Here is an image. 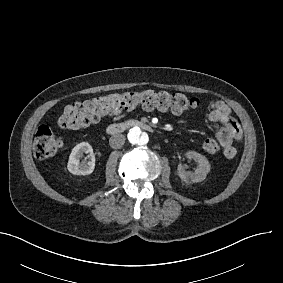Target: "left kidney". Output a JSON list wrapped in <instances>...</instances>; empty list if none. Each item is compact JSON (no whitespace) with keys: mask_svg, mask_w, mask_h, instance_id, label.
<instances>
[{"mask_svg":"<svg viewBox=\"0 0 283 283\" xmlns=\"http://www.w3.org/2000/svg\"><path fill=\"white\" fill-rule=\"evenodd\" d=\"M188 159H193L198 163V166L194 172L186 171L182 164L177 167V174L185 183L201 182L206 178V175L210 171V164L207 158L195 151H188L185 154Z\"/></svg>","mask_w":283,"mask_h":283,"instance_id":"5707ae66","label":"left kidney"}]
</instances>
